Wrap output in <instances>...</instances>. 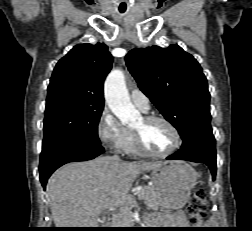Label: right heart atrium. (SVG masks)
<instances>
[{
  "label": "right heart atrium",
  "mask_w": 252,
  "mask_h": 231,
  "mask_svg": "<svg viewBox=\"0 0 252 231\" xmlns=\"http://www.w3.org/2000/svg\"><path fill=\"white\" fill-rule=\"evenodd\" d=\"M97 133L102 143L121 151L128 139V130L118 121L108 107L103 108L97 122Z\"/></svg>",
  "instance_id": "d8ad5b80"
}]
</instances>
